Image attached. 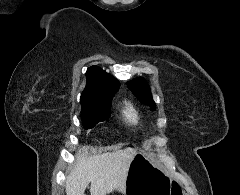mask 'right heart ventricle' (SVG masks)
Here are the masks:
<instances>
[{"label": "right heart ventricle", "mask_w": 240, "mask_h": 195, "mask_svg": "<svg viewBox=\"0 0 240 195\" xmlns=\"http://www.w3.org/2000/svg\"><path fill=\"white\" fill-rule=\"evenodd\" d=\"M125 119L130 123H135L138 120V113L132 104H127L123 109Z\"/></svg>", "instance_id": "obj_1"}]
</instances>
